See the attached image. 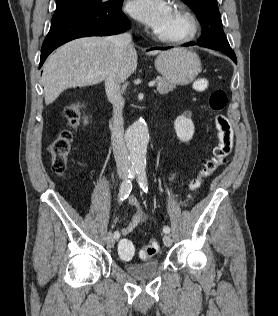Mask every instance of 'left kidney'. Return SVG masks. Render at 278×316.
Returning <instances> with one entry per match:
<instances>
[{
    "instance_id": "1",
    "label": "left kidney",
    "mask_w": 278,
    "mask_h": 316,
    "mask_svg": "<svg viewBox=\"0 0 278 316\" xmlns=\"http://www.w3.org/2000/svg\"><path fill=\"white\" fill-rule=\"evenodd\" d=\"M174 128L180 141L187 142L194 135V124L190 118L181 115L176 118Z\"/></svg>"
}]
</instances>
